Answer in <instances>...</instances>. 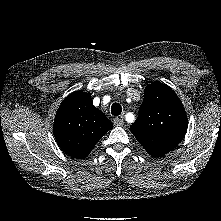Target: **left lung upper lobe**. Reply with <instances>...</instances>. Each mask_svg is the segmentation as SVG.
Segmentation results:
<instances>
[{
	"label": "left lung upper lobe",
	"instance_id": "obj_1",
	"mask_svg": "<svg viewBox=\"0 0 221 221\" xmlns=\"http://www.w3.org/2000/svg\"><path fill=\"white\" fill-rule=\"evenodd\" d=\"M188 120L183 104L167 85L152 83L145 88L139 116L130 126L148 154L162 157L184 137Z\"/></svg>",
	"mask_w": 221,
	"mask_h": 221
}]
</instances>
